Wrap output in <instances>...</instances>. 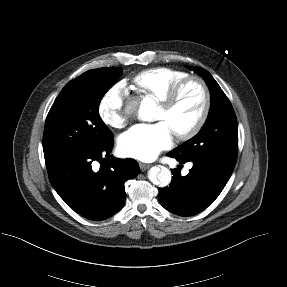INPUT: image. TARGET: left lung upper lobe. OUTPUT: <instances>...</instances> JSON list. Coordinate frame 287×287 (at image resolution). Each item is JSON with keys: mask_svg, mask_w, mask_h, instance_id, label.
<instances>
[{"mask_svg": "<svg viewBox=\"0 0 287 287\" xmlns=\"http://www.w3.org/2000/svg\"><path fill=\"white\" fill-rule=\"evenodd\" d=\"M206 81L211 94L208 118L200 132L172 150L186 157L208 155L235 165L238 154V125L232 105L211 74L200 67H188Z\"/></svg>", "mask_w": 287, "mask_h": 287, "instance_id": "5c2ea615", "label": "left lung upper lobe"}]
</instances>
